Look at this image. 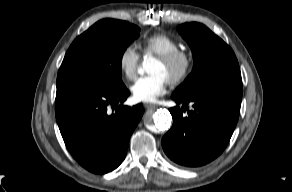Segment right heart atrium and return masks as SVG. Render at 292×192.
<instances>
[{"instance_id": "obj_1", "label": "right heart atrium", "mask_w": 292, "mask_h": 192, "mask_svg": "<svg viewBox=\"0 0 292 192\" xmlns=\"http://www.w3.org/2000/svg\"><path fill=\"white\" fill-rule=\"evenodd\" d=\"M140 55L134 45L125 46L118 56V66L122 75L128 79H134L139 64Z\"/></svg>"}]
</instances>
